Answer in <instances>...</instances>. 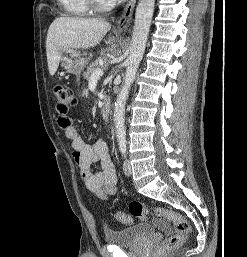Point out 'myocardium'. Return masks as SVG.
Segmentation results:
<instances>
[{
  "instance_id": "myocardium-1",
  "label": "myocardium",
  "mask_w": 247,
  "mask_h": 257,
  "mask_svg": "<svg viewBox=\"0 0 247 257\" xmlns=\"http://www.w3.org/2000/svg\"><path fill=\"white\" fill-rule=\"evenodd\" d=\"M89 6L93 11L96 12H105L110 10L115 2L112 0L101 1V0H88Z\"/></svg>"
}]
</instances>
